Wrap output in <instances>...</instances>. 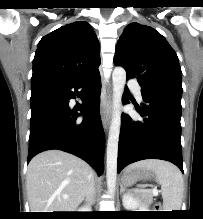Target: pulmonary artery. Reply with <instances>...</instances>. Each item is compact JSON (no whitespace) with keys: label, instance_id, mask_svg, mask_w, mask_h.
I'll list each match as a JSON object with an SVG mask.
<instances>
[{"label":"pulmonary artery","instance_id":"pulmonary-artery-1","mask_svg":"<svg viewBox=\"0 0 203 219\" xmlns=\"http://www.w3.org/2000/svg\"><path fill=\"white\" fill-rule=\"evenodd\" d=\"M127 84L134 91L136 98L138 100H141L142 96H141V90H140V86L138 82L136 80L131 79L128 81Z\"/></svg>","mask_w":203,"mask_h":219}]
</instances>
